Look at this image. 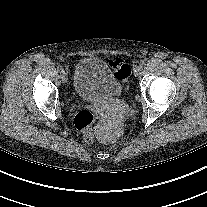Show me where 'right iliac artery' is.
Masks as SVG:
<instances>
[{
    "instance_id": "right-iliac-artery-1",
    "label": "right iliac artery",
    "mask_w": 207,
    "mask_h": 207,
    "mask_svg": "<svg viewBox=\"0 0 207 207\" xmlns=\"http://www.w3.org/2000/svg\"><path fill=\"white\" fill-rule=\"evenodd\" d=\"M57 69H58L59 72H63V67L62 66H58Z\"/></svg>"
}]
</instances>
